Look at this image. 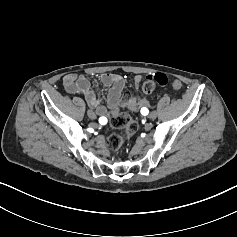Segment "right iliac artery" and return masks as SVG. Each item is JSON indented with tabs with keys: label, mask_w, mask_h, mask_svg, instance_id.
I'll return each mask as SVG.
<instances>
[{
	"label": "right iliac artery",
	"mask_w": 237,
	"mask_h": 237,
	"mask_svg": "<svg viewBox=\"0 0 237 237\" xmlns=\"http://www.w3.org/2000/svg\"><path fill=\"white\" fill-rule=\"evenodd\" d=\"M99 123L100 124H106L107 123V118L106 117H100L99 118Z\"/></svg>",
	"instance_id": "right-iliac-artery-1"
}]
</instances>
